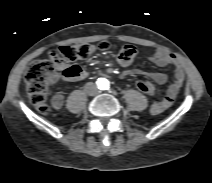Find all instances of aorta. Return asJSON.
I'll return each instance as SVG.
<instances>
[{
	"label": "aorta",
	"instance_id": "obj_1",
	"mask_svg": "<svg viewBox=\"0 0 212 183\" xmlns=\"http://www.w3.org/2000/svg\"><path fill=\"white\" fill-rule=\"evenodd\" d=\"M97 84L102 90H107L109 88V81L106 78H99Z\"/></svg>",
	"mask_w": 212,
	"mask_h": 183
}]
</instances>
